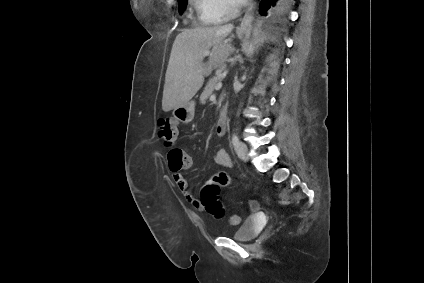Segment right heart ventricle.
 I'll list each match as a JSON object with an SVG mask.
<instances>
[{
  "instance_id": "obj_1",
  "label": "right heart ventricle",
  "mask_w": 424,
  "mask_h": 283,
  "mask_svg": "<svg viewBox=\"0 0 424 283\" xmlns=\"http://www.w3.org/2000/svg\"><path fill=\"white\" fill-rule=\"evenodd\" d=\"M203 21L207 24H213V23H217L219 21V19H217L214 16H211L209 18H205V19L203 18Z\"/></svg>"
}]
</instances>
